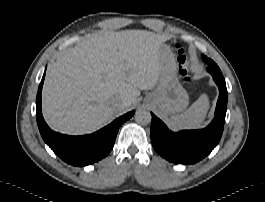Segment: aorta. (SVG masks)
I'll list each match as a JSON object with an SVG mask.
<instances>
[{"instance_id":"762f6f07","label":"aorta","mask_w":265,"mask_h":202,"mask_svg":"<svg viewBox=\"0 0 265 202\" xmlns=\"http://www.w3.org/2000/svg\"><path fill=\"white\" fill-rule=\"evenodd\" d=\"M152 116L150 112L144 108L138 109L135 113V121L142 125H147L151 122Z\"/></svg>"}]
</instances>
